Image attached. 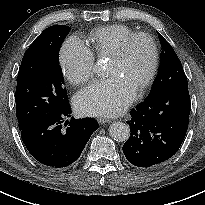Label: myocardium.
<instances>
[{
  "label": "myocardium",
  "mask_w": 205,
  "mask_h": 205,
  "mask_svg": "<svg viewBox=\"0 0 205 205\" xmlns=\"http://www.w3.org/2000/svg\"><path fill=\"white\" fill-rule=\"evenodd\" d=\"M139 38H144L145 40L148 41L150 48H151V52H152L151 66H150L149 72L145 80L137 88L139 92H142L151 85V83L153 82L156 76L157 70H158L159 49H158V45L154 37L145 32H135L132 35L125 38L121 46L118 48V50L115 52V54L111 58L114 61L122 60L128 53L130 45Z\"/></svg>",
  "instance_id": "obj_1"
}]
</instances>
